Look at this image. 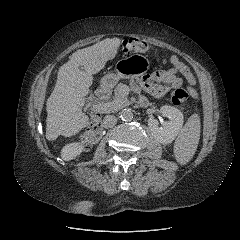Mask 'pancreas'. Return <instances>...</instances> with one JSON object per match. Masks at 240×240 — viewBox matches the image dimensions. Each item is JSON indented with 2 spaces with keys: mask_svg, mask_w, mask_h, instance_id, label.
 Returning a JSON list of instances; mask_svg holds the SVG:
<instances>
[{
  "mask_svg": "<svg viewBox=\"0 0 240 240\" xmlns=\"http://www.w3.org/2000/svg\"><path fill=\"white\" fill-rule=\"evenodd\" d=\"M123 84H118L114 89V95L112 101H109L108 103H111L112 106L109 109H120L122 107L129 105V100L127 98V95L123 93L122 91Z\"/></svg>",
  "mask_w": 240,
  "mask_h": 240,
  "instance_id": "cf45deb5",
  "label": "pancreas"
}]
</instances>
